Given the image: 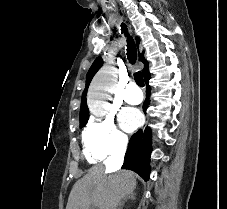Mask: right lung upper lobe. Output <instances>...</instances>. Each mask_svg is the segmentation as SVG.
Returning <instances> with one entry per match:
<instances>
[{"instance_id": "cb5924a9", "label": "right lung upper lobe", "mask_w": 227, "mask_h": 209, "mask_svg": "<svg viewBox=\"0 0 227 209\" xmlns=\"http://www.w3.org/2000/svg\"><path fill=\"white\" fill-rule=\"evenodd\" d=\"M140 39L139 37H136V44L137 46L139 45ZM144 53L139 54V60L142 61L144 63V69L142 70L144 79L147 78L150 74L148 71V61L144 58L143 56ZM103 64V60L101 57H97L95 59V61L93 62L92 66L90 67L87 76H86V88L83 92L82 95V100H81V109H80V119L81 118H89V110L87 107V103H86V94H87V89L88 86L93 78V76L95 75V73L100 69V67Z\"/></svg>"}]
</instances>
